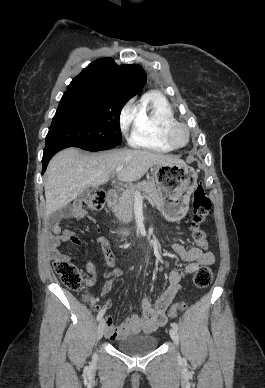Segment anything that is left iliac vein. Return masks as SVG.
Returning a JSON list of instances; mask_svg holds the SVG:
<instances>
[{"instance_id": "left-iliac-vein-1", "label": "left iliac vein", "mask_w": 265, "mask_h": 388, "mask_svg": "<svg viewBox=\"0 0 265 388\" xmlns=\"http://www.w3.org/2000/svg\"><path fill=\"white\" fill-rule=\"evenodd\" d=\"M169 334H170V337L171 339L174 341V343L177 345L178 344V332L176 329L174 328H171L169 330Z\"/></svg>"}]
</instances>
